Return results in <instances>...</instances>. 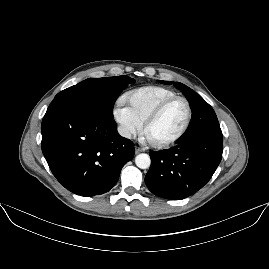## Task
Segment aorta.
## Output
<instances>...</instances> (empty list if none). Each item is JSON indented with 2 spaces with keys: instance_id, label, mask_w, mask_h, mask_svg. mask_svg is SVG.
<instances>
[{
  "instance_id": "obj_1",
  "label": "aorta",
  "mask_w": 269,
  "mask_h": 269,
  "mask_svg": "<svg viewBox=\"0 0 269 269\" xmlns=\"http://www.w3.org/2000/svg\"><path fill=\"white\" fill-rule=\"evenodd\" d=\"M135 164L140 169H147L150 167V156L146 153H140L135 157Z\"/></svg>"
}]
</instances>
